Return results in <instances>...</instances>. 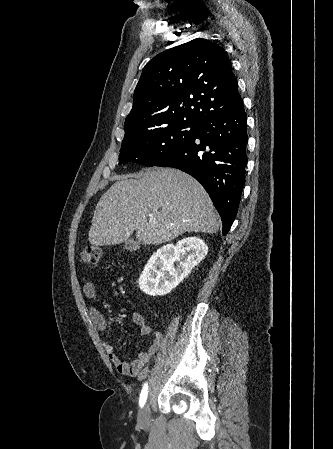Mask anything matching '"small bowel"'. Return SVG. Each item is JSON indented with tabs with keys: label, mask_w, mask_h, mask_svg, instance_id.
<instances>
[{
	"label": "small bowel",
	"mask_w": 333,
	"mask_h": 449,
	"mask_svg": "<svg viewBox=\"0 0 333 449\" xmlns=\"http://www.w3.org/2000/svg\"><path fill=\"white\" fill-rule=\"evenodd\" d=\"M83 293L88 299H95L97 296V286L93 281H87L83 285ZM90 317L95 327L101 331L107 328V322L101 312L92 307L90 309ZM131 319L140 329V335L150 337V341L146 349L141 350L135 360L126 362L120 358L116 352V346L111 343H103L104 350L119 373L127 376L138 375L150 358L158 351L163 342V336L159 332H153L148 325L145 316L140 312H133Z\"/></svg>",
	"instance_id": "small-bowel-1"
}]
</instances>
